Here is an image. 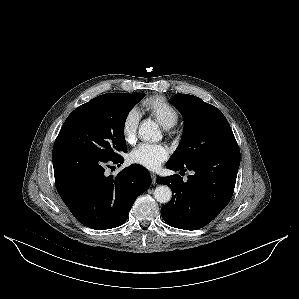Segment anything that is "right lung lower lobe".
<instances>
[{
  "label": "right lung lower lobe",
  "mask_w": 299,
  "mask_h": 299,
  "mask_svg": "<svg viewBox=\"0 0 299 299\" xmlns=\"http://www.w3.org/2000/svg\"><path fill=\"white\" fill-rule=\"evenodd\" d=\"M52 160L60 197L80 223L96 230L122 225L136 198L151 185L149 172L137 164L108 176L106 166H119L124 162L122 156L104 159L59 147L53 149Z\"/></svg>",
  "instance_id": "right-lung-lower-lobe-1"
}]
</instances>
